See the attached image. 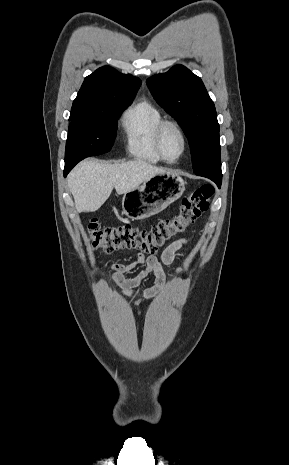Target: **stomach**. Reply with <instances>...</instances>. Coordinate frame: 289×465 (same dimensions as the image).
<instances>
[{
	"label": "stomach",
	"instance_id": "stomach-1",
	"mask_svg": "<svg viewBox=\"0 0 289 465\" xmlns=\"http://www.w3.org/2000/svg\"><path fill=\"white\" fill-rule=\"evenodd\" d=\"M185 184L186 181L176 173L157 174L124 194L123 214L131 220H143L158 214L182 196Z\"/></svg>",
	"mask_w": 289,
	"mask_h": 465
}]
</instances>
